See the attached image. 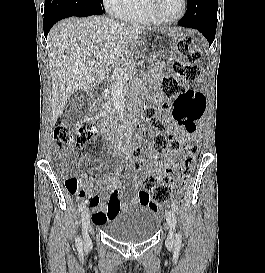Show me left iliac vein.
<instances>
[{
	"mask_svg": "<svg viewBox=\"0 0 265 273\" xmlns=\"http://www.w3.org/2000/svg\"><path fill=\"white\" fill-rule=\"evenodd\" d=\"M167 224L169 227V234L166 240V245L168 248H173L175 242V229H176V215L173 211H169L167 214Z\"/></svg>",
	"mask_w": 265,
	"mask_h": 273,
	"instance_id": "left-iliac-vein-1",
	"label": "left iliac vein"
}]
</instances>
